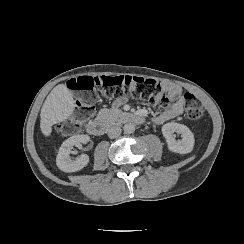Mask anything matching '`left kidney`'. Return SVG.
<instances>
[{
	"instance_id": "5707ae66",
	"label": "left kidney",
	"mask_w": 244,
	"mask_h": 244,
	"mask_svg": "<svg viewBox=\"0 0 244 244\" xmlns=\"http://www.w3.org/2000/svg\"><path fill=\"white\" fill-rule=\"evenodd\" d=\"M174 132L181 134L182 139L177 141ZM162 133L169 150L180 154L190 153L193 150L194 135L187 126L175 122L166 123L162 126Z\"/></svg>"
}]
</instances>
